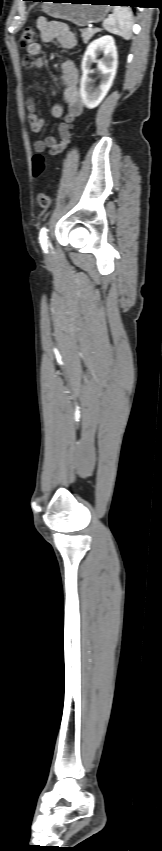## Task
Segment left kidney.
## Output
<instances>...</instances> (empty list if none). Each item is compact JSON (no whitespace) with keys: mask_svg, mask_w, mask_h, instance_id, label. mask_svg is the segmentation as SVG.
I'll list each match as a JSON object with an SVG mask.
<instances>
[{"mask_svg":"<svg viewBox=\"0 0 162 851\" xmlns=\"http://www.w3.org/2000/svg\"><path fill=\"white\" fill-rule=\"evenodd\" d=\"M100 54H103L104 57L97 61V56ZM96 61L100 72V84L94 88L91 86L89 74L92 64ZM117 65V49L112 36H103L88 45L81 63L82 77L80 82L81 99L88 109L97 107L107 95L115 78Z\"/></svg>","mask_w":162,"mask_h":851,"instance_id":"5707ae66","label":"left kidney"}]
</instances>
